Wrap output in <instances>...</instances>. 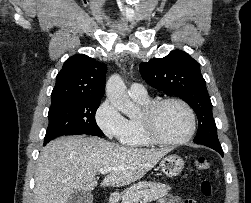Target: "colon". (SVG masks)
Instances as JSON below:
<instances>
[{"label":"colon","instance_id":"obj_1","mask_svg":"<svg viewBox=\"0 0 251 203\" xmlns=\"http://www.w3.org/2000/svg\"><path fill=\"white\" fill-rule=\"evenodd\" d=\"M210 166H211L210 161L205 157H198L195 160V167L199 171H207L210 169ZM201 192L206 196L211 195L212 184L210 181L204 180L201 183Z\"/></svg>","mask_w":251,"mask_h":203}]
</instances>
